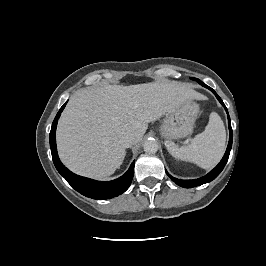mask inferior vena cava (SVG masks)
Masks as SVG:
<instances>
[{"instance_id": "inferior-vena-cava-1", "label": "inferior vena cava", "mask_w": 266, "mask_h": 266, "mask_svg": "<svg viewBox=\"0 0 266 266\" xmlns=\"http://www.w3.org/2000/svg\"><path fill=\"white\" fill-rule=\"evenodd\" d=\"M122 144L128 148L130 147L131 145L134 144L135 142V138L132 134H125L123 137H122Z\"/></svg>"}]
</instances>
